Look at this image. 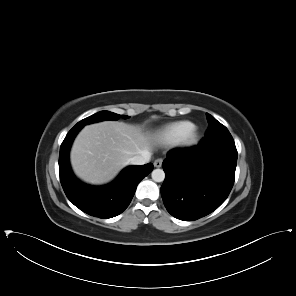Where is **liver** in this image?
Segmentation results:
<instances>
[{"instance_id":"liver-1","label":"liver","mask_w":296,"mask_h":296,"mask_svg":"<svg viewBox=\"0 0 296 296\" xmlns=\"http://www.w3.org/2000/svg\"><path fill=\"white\" fill-rule=\"evenodd\" d=\"M159 142L158 136L124 122L91 124L76 137L71 164L76 175L84 181L103 184L126 167L132 157L150 152Z\"/></svg>"}]
</instances>
